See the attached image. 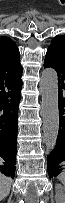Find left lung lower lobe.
Returning <instances> with one entry per match:
<instances>
[{"label": "left lung lower lobe", "mask_w": 65, "mask_h": 203, "mask_svg": "<svg viewBox=\"0 0 65 203\" xmlns=\"http://www.w3.org/2000/svg\"><path fill=\"white\" fill-rule=\"evenodd\" d=\"M44 67L54 68L58 74L59 131L54 150L47 157L49 177L65 173V52L48 48Z\"/></svg>", "instance_id": "1"}]
</instances>
